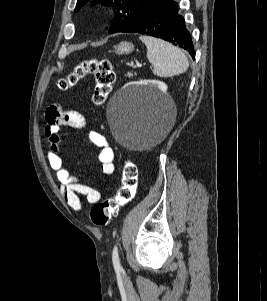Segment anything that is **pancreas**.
Returning <instances> with one entry per match:
<instances>
[{
  "label": "pancreas",
  "mask_w": 267,
  "mask_h": 301,
  "mask_svg": "<svg viewBox=\"0 0 267 301\" xmlns=\"http://www.w3.org/2000/svg\"><path fill=\"white\" fill-rule=\"evenodd\" d=\"M126 76L130 78V77L133 76V74H132L131 72H128V73L126 74Z\"/></svg>",
  "instance_id": "1"
}]
</instances>
